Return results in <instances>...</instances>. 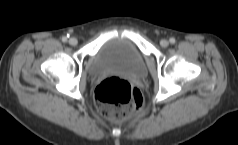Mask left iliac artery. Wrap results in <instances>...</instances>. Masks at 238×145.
Here are the masks:
<instances>
[{
  "instance_id": "44dca946",
  "label": "left iliac artery",
  "mask_w": 238,
  "mask_h": 145,
  "mask_svg": "<svg viewBox=\"0 0 238 145\" xmlns=\"http://www.w3.org/2000/svg\"><path fill=\"white\" fill-rule=\"evenodd\" d=\"M169 41H170V43H171V44H175V42H176L175 38H173V37H172V38H170V40H169Z\"/></svg>"
}]
</instances>
